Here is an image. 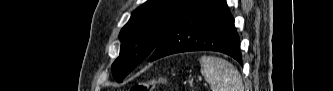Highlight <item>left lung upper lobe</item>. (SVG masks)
<instances>
[{
    "label": "left lung upper lobe",
    "mask_w": 333,
    "mask_h": 91,
    "mask_svg": "<svg viewBox=\"0 0 333 91\" xmlns=\"http://www.w3.org/2000/svg\"><path fill=\"white\" fill-rule=\"evenodd\" d=\"M197 0H148L131 15L119 34L120 55L112 64L117 82L149 57L165 35Z\"/></svg>",
    "instance_id": "5c2ea615"
}]
</instances>
